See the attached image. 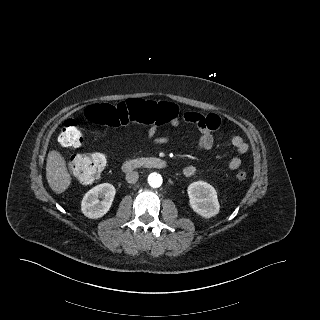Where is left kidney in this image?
Returning a JSON list of instances; mask_svg holds the SVG:
<instances>
[{
	"label": "left kidney",
	"instance_id": "obj_1",
	"mask_svg": "<svg viewBox=\"0 0 320 320\" xmlns=\"http://www.w3.org/2000/svg\"><path fill=\"white\" fill-rule=\"evenodd\" d=\"M189 204L194 212L204 218H211L219 212V201L214 187L204 181L188 186Z\"/></svg>",
	"mask_w": 320,
	"mask_h": 320
}]
</instances>
